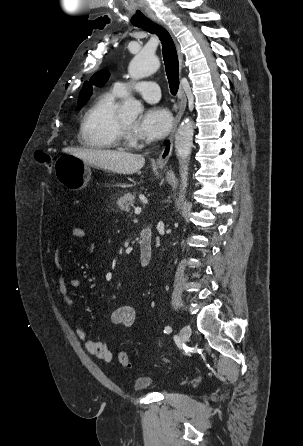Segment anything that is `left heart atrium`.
I'll return each mask as SVG.
<instances>
[{
  "label": "left heart atrium",
  "mask_w": 303,
  "mask_h": 446,
  "mask_svg": "<svg viewBox=\"0 0 303 446\" xmlns=\"http://www.w3.org/2000/svg\"><path fill=\"white\" fill-rule=\"evenodd\" d=\"M172 125L170 112L162 107L147 109L140 121L134 126L136 134L145 139L158 140L164 138Z\"/></svg>",
  "instance_id": "1"
}]
</instances>
